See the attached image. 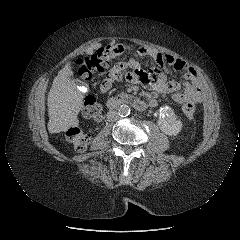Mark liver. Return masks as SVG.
Instances as JSON below:
<instances>
[{
    "mask_svg": "<svg viewBox=\"0 0 240 240\" xmlns=\"http://www.w3.org/2000/svg\"><path fill=\"white\" fill-rule=\"evenodd\" d=\"M101 45V43L93 44L85 52L92 54ZM72 75L71 64L68 62L54 78L48 93V131L50 133L66 131L79 124L77 115L82 107L84 96L77 88L78 86L71 80Z\"/></svg>",
    "mask_w": 240,
    "mask_h": 240,
    "instance_id": "1",
    "label": "liver"
}]
</instances>
